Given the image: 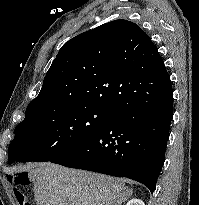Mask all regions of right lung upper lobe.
<instances>
[{"instance_id": "1", "label": "right lung upper lobe", "mask_w": 199, "mask_h": 205, "mask_svg": "<svg viewBox=\"0 0 199 205\" xmlns=\"http://www.w3.org/2000/svg\"><path fill=\"white\" fill-rule=\"evenodd\" d=\"M165 73L156 46L137 24L111 21L62 46L27 108L69 103L112 111L155 89Z\"/></svg>"}]
</instances>
